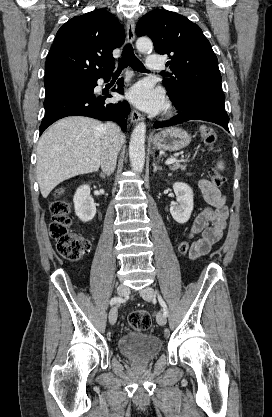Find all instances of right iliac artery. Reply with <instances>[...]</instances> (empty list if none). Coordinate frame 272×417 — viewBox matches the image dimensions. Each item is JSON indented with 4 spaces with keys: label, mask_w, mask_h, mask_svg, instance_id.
<instances>
[{
    "label": "right iliac artery",
    "mask_w": 272,
    "mask_h": 417,
    "mask_svg": "<svg viewBox=\"0 0 272 417\" xmlns=\"http://www.w3.org/2000/svg\"><path fill=\"white\" fill-rule=\"evenodd\" d=\"M116 302L123 303V302H125V299H123V298H119V297H113V298L111 299V301H110V304H111V305H113V304H115Z\"/></svg>",
    "instance_id": "obj_1"
}]
</instances>
